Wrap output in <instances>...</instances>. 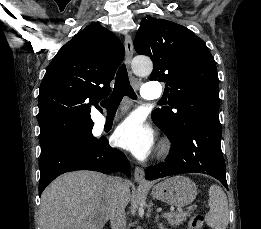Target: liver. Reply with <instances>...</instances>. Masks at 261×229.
<instances>
[{
    "mask_svg": "<svg viewBox=\"0 0 261 229\" xmlns=\"http://www.w3.org/2000/svg\"><path fill=\"white\" fill-rule=\"evenodd\" d=\"M109 179L95 171H74L55 179L41 195L40 229H103L109 221ZM120 199L127 207L128 183Z\"/></svg>",
    "mask_w": 261,
    "mask_h": 229,
    "instance_id": "6515ba94",
    "label": "liver"
}]
</instances>
